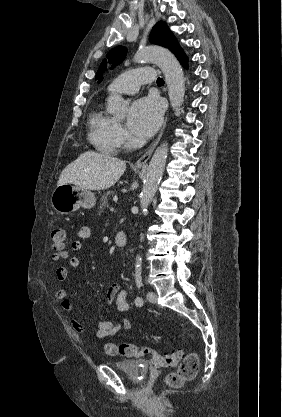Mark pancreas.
Instances as JSON below:
<instances>
[{
	"label": "pancreas",
	"instance_id": "obj_1",
	"mask_svg": "<svg viewBox=\"0 0 282 417\" xmlns=\"http://www.w3.org/2000/svg\"><path fill=\"white\" fill-rule=\"evenodd\" d=\"M109 194H115V190H107V192H105V194H103V196L100 200L101 206H108V196H109Z\"/></svg>",
	"mask_w": 282,
	"mask_h": 417
}]
</instances>
